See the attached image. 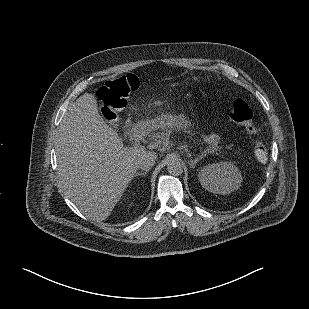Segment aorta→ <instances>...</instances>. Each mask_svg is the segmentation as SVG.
<instances>
[{
  "label": "aorta",
  "mask_w": 309,
  "mask_h": 309,
  "mask_svg": "<svg viewBox=\"0 0 309 309\" xmlns=\"http://www.w3.org/2000/svg\"><path fill=\"white\" fill-rule=\"evenodd\" d=\"M184 164L177 156H172L167 162V171L173 176H179L183 173Z\"/></svg>",
  "instance_id": "762f6f07"
}]
</instances>
